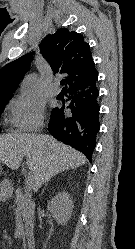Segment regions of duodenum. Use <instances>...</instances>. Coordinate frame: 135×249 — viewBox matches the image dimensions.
I'll return each mask as SVG.
<instances>
[{
    "label": "duodenum",
    "instance_id": "obj_1",
    "mask_svg": "<svg viewBox=\"0 0 135 249\" xmlns=\"http://www.w3.org/2000/svg\"><path fill=\"white\" fill-rule=\"evenodd\" d=\"M26 245L29 249H34L35 248V235L34 232L31 231L29 235L27 236V242Z\"/></svg>",
    "mask_w": 135,
    "mask_h": 249
}]
</instances>
